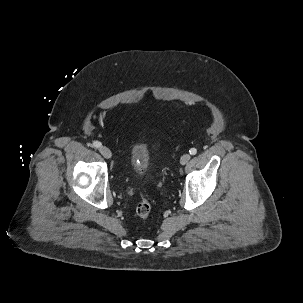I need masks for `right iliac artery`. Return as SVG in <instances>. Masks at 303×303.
<instances>
[{
    "instance_id": "right-iliac-artery-1",
    "label": "right iliac artery",
    "mask_w": 303,
    "mask_h": 303,
    "mask_svg": "<svg viewBox=\"0 0 303 303\" xmlns=\"http://www.w3.org/2000/svg\"><path fill=\"white\" fill-rule=\"evenodd\" d=\"M101 145L102 144L100 142H98V141L93 142V147H95V148H100Z\"/></svg>"
}]
</instances>
